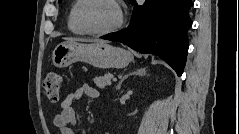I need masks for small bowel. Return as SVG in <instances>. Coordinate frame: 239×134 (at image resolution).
<instances>
[{
	"mask_svg": "<svg viewBox=\"0 0 239 134\" xmlns=\"http://www.w3.org/2000/svg\"><path fill=\"white\" fill-rule=\"evenodd\" d=\"M84 94L91 99L100 97L99 91L87 84L67 94L61 102L59 113L54 116L53 120L60 134H74L72 127L77 124V116L73 109V104Z\"/></svg>",
	"mask_w": 239,
	"mask_h": 134,
	"instance_id": "c3829d8e",
	"label": "small bowel"
}]
</instances>
